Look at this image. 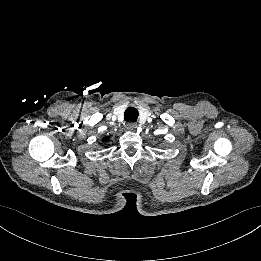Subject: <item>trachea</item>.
Listing matches in <instances>:
<instances>
[{
  "label": "trachea",
  "instance_id": "trachea-1",
  "mask_svg": "<svg viewBox=\"0 0 261 261\" xmlns=\"http://www.w3.org/2000/svg\"><path fill=\"white\" fill-rule=\"evenodd\" d=\"M138 110L135 107H128L125 110V121L135 122L138 118Z\"/></svg>",
  "mask_w": 261,
  "mask_h": 261
}]
</instances>
